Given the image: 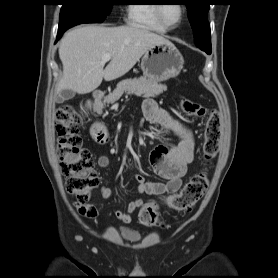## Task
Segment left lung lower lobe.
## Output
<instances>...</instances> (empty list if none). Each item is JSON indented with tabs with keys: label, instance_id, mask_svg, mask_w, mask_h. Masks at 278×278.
I'll return each instance as SVG.
<instances>
[{
	"label": "left lung lower lobe",
	"instance_id": "1",
	"mask_svg": "<svg viewBox=\"0 0 278 278\" xmlns=\"http://www.w3.org/2000/svg\"><path fill=\"white\" fill-rule=\"evenodd\" d=\"M207 54H211V50H206L205 51Z\"/></svg>",
	"mask_w": 278,
	"mask_h": 278
}]
</instances>
